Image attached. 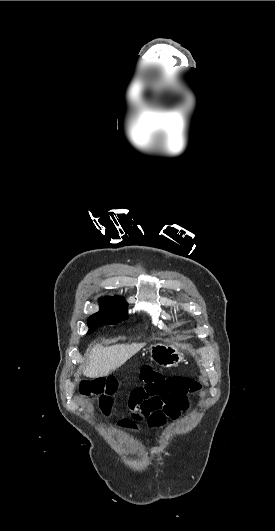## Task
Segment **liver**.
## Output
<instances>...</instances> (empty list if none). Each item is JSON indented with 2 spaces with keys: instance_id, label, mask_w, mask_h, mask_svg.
I'll list each match as a JSON object with an SVG mask.
<instances>
[{
  "instance_id": "obj_1",
  "label": "liver",
  "mask_w": 275,
  "mask_h": 531,
  "mask_svg": "<svg viewBox=\"0 0 275 531\" xmlns=\"http://www.w3.org/2000/svg\"><path fill=\"white\" fill-rule=\"evenodd\" d=\"M145 343H131V345H112V347H101L95 345L88 353L87 367L83 369V375L95 379V377H107L109 373L124 365L128 359L136 355Z\"/></svg>"
}]
</instances>
